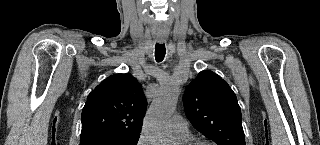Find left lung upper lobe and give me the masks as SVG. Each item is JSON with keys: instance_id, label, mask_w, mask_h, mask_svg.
<instances>
[{"instance_id": "left-lung-upper-lobe-1", "label": "left lung upper lobe", "mask_w": 320, "mask_h": 145, "mask_svg": "<svg viewBox=\"0 0 320 145\" xmlns=\"http://www.w3.org/2000/svg\"><path fill=\"white\" fill-rule=\"evenodd\" d=\"M183 103L193 127L217 145H245L240 106L219 75L200 72L185 90Z\"/></svg>"}]
</instances>
